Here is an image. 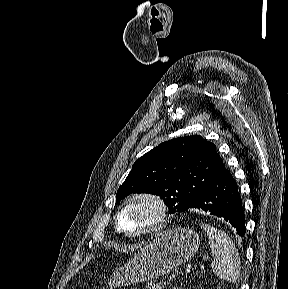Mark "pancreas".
<instances>
[{
    "instance_id": "obj_1",
    "label": "pancreas",
    "mask_w": 288,
    "mask_h": 289,
    "mask_svg": "<svg viewBox=\"0 0 288 289\" xmlns=\"http://www.w3.org/2000/svg\"><path fill=\"white\" fill-rule=\"evenodd\" d=\"M165 286V283L160 282V283H150L147 286V289H162Z\"/></svg>"
}]
</instances>
